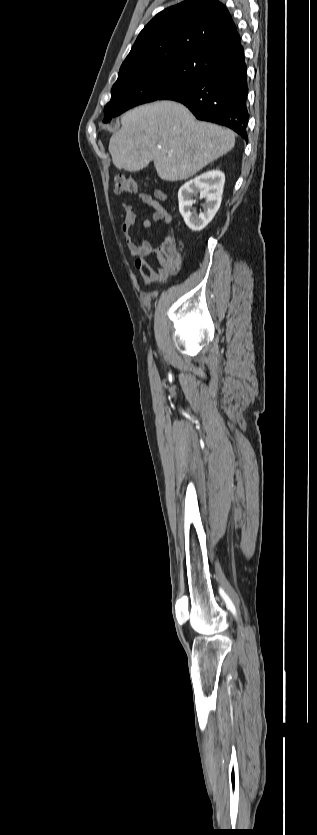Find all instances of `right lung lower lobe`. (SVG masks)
I'll return each instance as SVG.
<instances>
[{
	"mask_svg": "<svg viewBox=\"0 0 317 835\" xmlns=\"http://www.w3.org/2000/svg\"><path fill=\"white\" fill-rule=\"evenodd\" d=\"M203 77L164 95L187 106L199 120L227 126L248 142L247 66L240 37L195 56Z\"/></svg>",
	"mask_w": 317,
	"mask_h": 835,
	"instance_id": "obj_1",
	"label": "right lung lower lobe"
}]
</instances>
